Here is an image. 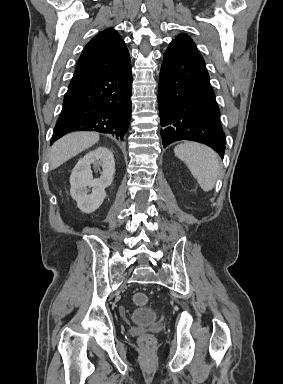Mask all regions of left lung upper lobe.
I'll return each mask as SVG.
<instances>
[{
	"label": "left lung upper lobe",
	"mask_w": 283,
	"mask_h": 384,
	"mask_svg": "<svg viewBox=\"0 0 283 384\" xmlns=\"http://www.w3.org/2000/svg\"><path fill=\"white\" fill-rule=\"evenodd\" d=\"M172 42H176V43H179V44H182L186 47H189L195 51H198L197 50V47L195 45V43L193 42V40L186 34H180L178 35V37L173 40Z\"/></svg>",
	"instance_id": "obj_1"
}]
</instances>
